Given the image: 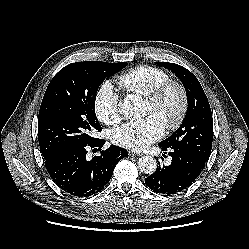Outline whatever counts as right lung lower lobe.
I'll return each mask as SVG.
<instances>
[{"mask_svg":"<svg viewBox=\"0 0 249 249\" xmlns=\"http://www.w3.org/2000/svg\"><path fill=\"white\" fill-rule=\"evenodd\" d=\"M105 140L96 139L94 142L69 149L51 158L45 159V167L55 183L65 192L88 197L100 192L110 181L115 165L119 160L128 156L124 148L112 145L87 160L89 147L100 150Z\"/></svg>","mask_w":249,"mask_h":249,"instance_id":"obj_1","label":"right lung lower lobe"}]
</instances>
